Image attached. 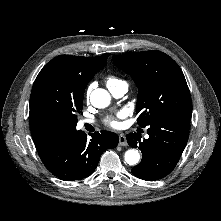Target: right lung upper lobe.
Returning <instances> with one entry per match:
<instances>
[{"instance_id":"1","label":"right lung upper lobe","mask_w":221,"mask_h":221,"mask_svg":"<svg viewBox=\"0 0 221 221\" xmlns=\"http://www.w3.org/2000/svg\"><path fill=\"white\" fill-rule=\"evenodd\" d=\"M108 56L109 54H104L97 57L74 56L76 57V65L79 74L90 81L99 70L104 68ZM30 129L34 141L48 136L72 132L70 130L60 129L44 123H30Z\"/></svg>"}]
</instances>
